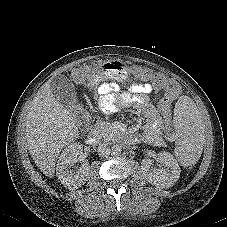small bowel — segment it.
<instances>
[{
  "label": "small bowel",
  "instance_id": "1",
  "mask_svg": "<svg viewBox=\"0 0 227 227\" xmlns=\"http://www.w3.org/2000/svg\"><path fill=\"white\" fill-rule=\"evenodd\" d=\"M118 88L114 83H102L97 87V93L100 96L99 110L103 116L112 114L119 98L116 95ZM130 95L125 97V101L130 104H143L144 95L151 92V87L148 84L134 83L129 88ZM162 123L157 117H152L146 127V137L148 139H155L161 131Z\"/></svg>",
  "mask_w": 227,
  "mask_h": 227
}]
</instances>
